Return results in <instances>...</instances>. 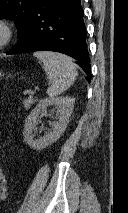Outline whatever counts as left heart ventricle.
Masks as SVG:
<instances>
[{
  "mask_svg": "<svg viewBox=\"0 0 128 213\" xmlns=\"http://www.w3.org/2000/svg\"><path fill=\"white\" fill-rule=\"evenodd\" d=\"M1 38H2V31L0 30V40H1Z\"/></svg>",
  "mask_w": 128,
  "mask_h": 213,
  "instance_id": "left-heart-ventricle-1",
  "label": "left heart ventricle"
}]
</instances>
